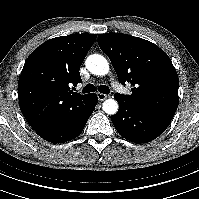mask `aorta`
<instances>
[{"label": "aorta", "mask_w": 199, "mask_h": 199, "mask_svg": "<svg viewBox=\"0 0 199 199\" xmlns=\"http://www.w3.org/2000/svg\"><path fill=\"white\" fill-rule=\"evenodd\" d=\"M85 64L86 68L94 75L104 76L109 71L108 61L99 54L90 55ZM102 108L105 113L113 115L118 111V103L114 99H107L103 102Z\"/></svg>", "instance_id": "obj_1"}]
</instances>
